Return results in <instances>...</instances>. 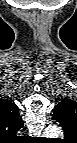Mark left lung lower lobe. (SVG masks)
Wrapping results in <instances>:
<instances>
[{"instance_id":"obj_1","label":"left lung lower lobe","mask_w":77,"mask_h":143,"mask_svg":"<svg viewBox=\"0 0 77 143\" xmlns=\"http://www.w3.org/2000/svg\"><path fill=\"white\" fill-rule=\"evenodd\" d=\"M56 109L59 111V113H58L59 115H57V112H56L55 114H53L52 119L56 120L61 125L68 118L67 113H66V107L65 106H58V108H56Z\"/></svg>"}]
</instances>
